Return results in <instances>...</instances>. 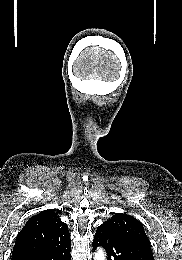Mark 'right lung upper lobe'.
<instances>
[{
    "instance_id": "right-lung-upper-lobe-1",
    "label": "right lung upper lobe",
    "mask_w": 182,
    "mask_h": 260,
    "mask_svg": "<svg viewBox=\"0 0 182 260\" xmlns=\"http://www.w3.org/2000/svg\"><path fill=\"white\" fill-rule=\"evenodd\" d=\"M57 213L45 210L31 217L16 237L12 260L27 254L61 246L70 241L66 223Z\"/></svg>"
}]
</instances>
